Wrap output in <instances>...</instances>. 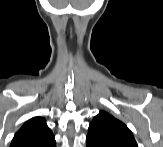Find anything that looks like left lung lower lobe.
<instances>
[{"mask_svg": "<svg viewBox=\"0 0 163 147\" xmlns=\"http://www.w3.org/2000/svg\"><path fill=\"white\" fill-rule=\"evenodd\" d=\"M86 144L87 147H136L134 144L128 142L101 139L90 134L86 137Z\"/></svg>", "mask_w": 163, "mask_h": 147, "instance_id": "1", "label": "left lung lower lobe"}]
</instances>
